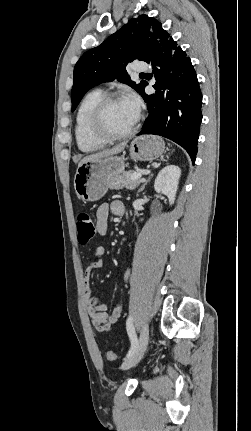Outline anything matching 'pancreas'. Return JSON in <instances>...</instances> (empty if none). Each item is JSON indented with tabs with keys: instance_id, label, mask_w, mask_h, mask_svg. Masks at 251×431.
<instances>
[{
	"instance_id": "cf45deb5",
	"label": "pancreas",
	"mask_w": 251,
	"mask_h": 431,
	"mask_svg": "<svg viewBox=\"0 0 251 431\" xmlns=\"http://www.w3.org/2000/svg\"><path fill=\"white\" fill-rule=\"evenodd\" d=\"M134 173V171H127L123 172L119 176L111 178L108 183V187L115 190L123 189L124 187L130 190L135 189L139 186L140 179L132 180L131 175Z\"/></svg>"
}]
</instances>
